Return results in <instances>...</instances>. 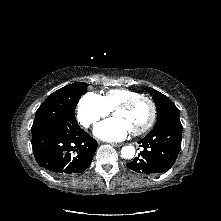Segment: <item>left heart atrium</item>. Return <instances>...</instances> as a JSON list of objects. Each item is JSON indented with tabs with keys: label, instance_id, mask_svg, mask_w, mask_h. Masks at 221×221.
I'll use <instances>...</instances> for the list:
<instances>
[{
	"label": "left heart atrium",
	"instance_id": "left-heart-atrium-1",
	"mask_svg": "<svg viewBox=\"0 0 221 221\" xmlns=\"http://www.w3.org/2000/svg\"><path fill=\"white\" fill-rule=\"evenodd\" d=\"M130 133L129 127L124 121L118 118H111L98 124L94 129V134L106 141H120Z\"/></svg>",
	"mask_w": 221,
	"mask_h": 221
}]
</instances>
